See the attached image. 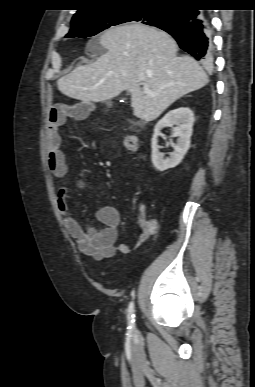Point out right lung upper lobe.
Returning <instances> with one entry per match:
<instances>
[{
  "label": "right lung upper lobe",
  "instance_id": "1",
  "mask_svg": "<svg viewBox=\"0 0 255 387\" xmlns=\"http://www.w3.org/2000/svg\"><path fill=\"white\" fill-rule=\"evenodd\" d=\"M199 0H80V9L72 21L87 17L98 12L122 6H169L178 7L196 4Z\"/></svg>",
  "mask_w": 255,
  "mask_h": 387
}]
</instances>
